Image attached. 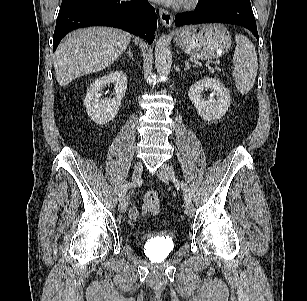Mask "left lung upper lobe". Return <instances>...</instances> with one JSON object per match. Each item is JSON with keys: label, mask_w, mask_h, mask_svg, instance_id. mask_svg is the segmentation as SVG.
Instances as JSON below:
<instances>
[{"label": "left lung upper lobe", "mask_w": 307, "mask_h": 301, "mask_svg": "<svg viewBox=\"0 0 307 301\" xmlns=\"http://www.w3.org/2000/svg\"><path fill=\"white\" fill-rule=\"evenodd\" d=\"M212 1H216V2H224V1H227V0H212Z\"/></svg>", "instance_id": "5c2ea615"}]
</instances>
